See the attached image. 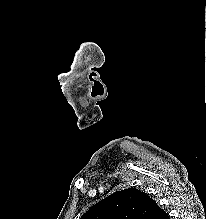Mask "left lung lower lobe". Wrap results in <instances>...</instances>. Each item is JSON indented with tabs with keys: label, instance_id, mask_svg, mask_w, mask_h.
<instances>
[{
	"label": "left lung lower lobe",
	"instance_id": "obj_1",
	"mask_svg": "<svg viewBox=\"0 0 206 219\" xmlns=\"http://www.w3.org/2000/svg\"><path fill=\"white\" fill-rule=\"evenodd\" d=\"M152 210L153 212L150 219H169L168 214L160 208L156 202L154 203Z\"/></svg>",
	"mask_w": 206,
	"mask_h": 219
}]
</instances>
